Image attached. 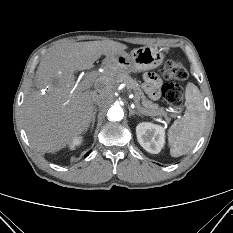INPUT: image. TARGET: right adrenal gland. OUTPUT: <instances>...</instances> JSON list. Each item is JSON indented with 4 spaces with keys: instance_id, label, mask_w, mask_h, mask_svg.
Listing matches in <instances>:
<instances>
[{
    "instance_id": "obj_1",
    "label": "right adrenal gland",
    "mask_w": 233,
    "mask_h": 233,
    "mask_svg": "<svg viewBox=\"0 0 233 233\" xmlns=\"http://www.w3.org/2000/svg\"><path fill=\"white\" fill-rule=\"evenodd\" d=\"M94 124H95V114H94L93 117H92L90 131L93 130Z\"/></svg>"
}]
</instances>
